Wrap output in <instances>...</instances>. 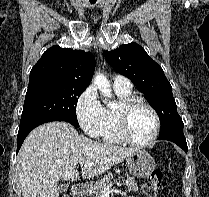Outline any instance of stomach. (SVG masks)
Returning a JSON list of instances; mask_svg holds the SVG:
<instances>
[{"mask_svg": "<svg viewBox=\"0 0 209 197\" xmlns=\"http://www.w3.org/2000/svg\"><path fill=\"white\" fill-rule=\"evenodd\" d=\"M126 168L133 176L148 178L155 169V161L148 152L138 149L126 158Z\"/></svg>", "mask_w": 209, "mask_h": 197, "instance_id": "stomach-1", "label": "stomach"}]
</instances>
